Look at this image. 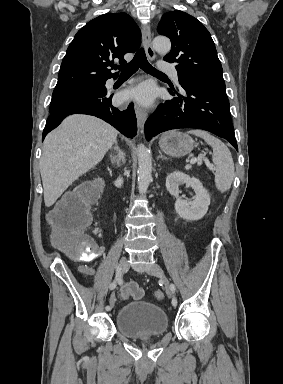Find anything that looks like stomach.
<instances>
[{"mask_svg": "<svg viewBox=\"0 0 283 384\" xmlns=\"http://www.w3.org/2000/svg\"><path fill=\"white\" fill-rule=\"evenodd\" d=\"M160 150H163L172 158H181L190 154L194 148V142L187 134L180 132H166L159 140Z\"/></svg>", "mask_w": 283, "mask_h": 384, "instance_id": "stomach-1", "label": "stomach"}]
</instances>
